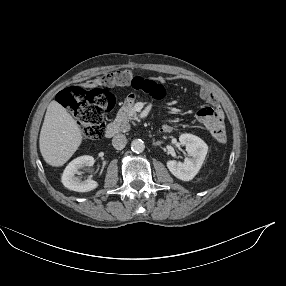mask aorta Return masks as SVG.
I'll return each instance as SVG.
<instances>
[{"mask_svg":"<svg viewBox=\"0 0 286 286\" xmlns=\"http://www.w3.org/2000/svg\"><path fill=\"white\" fill-rule=\"evenodd\" d=\"M131 149L136 153H141L145 149V144L141 139H135L131 142Z\"/></svg>","mask_w":286,"mask_h":286,"instance_id":"762f6f07","label":"aorta"}]
</instances>
